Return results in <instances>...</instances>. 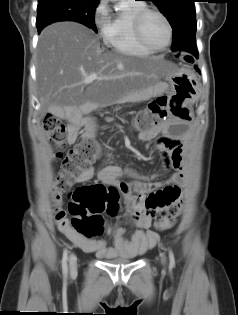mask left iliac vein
Segmentation results:
<instances>
[{
    "label": "left iliac vein",
    "instance_id": "left-iliac-vein-1",
    "mask_svg": "<svg viewBox=\"0 0 238 315\" xmlns=\"http://www.w3.org/2000/svg\"><path fill=\"white\" fill-rule=\"evenodd\" d=\"M161 261H162V264H163V265L166 264V257H165V255H162V256H161Z\"/></svg>",
    "mask_w": 238,
    "mask_h": 315
}]
</instances>
